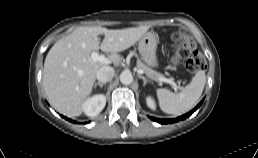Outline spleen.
Listing matches in <instances>:
<instances>
[{
	"instance_id": "3e777b00",
	"label": "spleen",
	"mask_w": 258,
	"mask_h": 158,
	"mask_svg": "<svg viewBox=\"0 0 258 158\" xmlns=\"http://www.w3.org/2000/svg\"><path fill=\"white\" fill-rule=\"evenodd\" d=\"M206 83L205 72L200 70L180 93L157 89L160 108L167 114L180 115L191 109L200 98Z\"/></svg>"
}]
</instances>
